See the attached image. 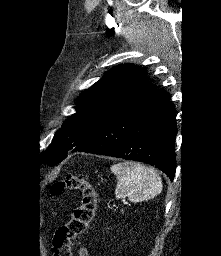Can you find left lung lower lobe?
Returning a JSON list of instances; mask_svg holds the SVG:
<instances>
[{"label":"left lung lower lobe","mask_w":221,"mask_h":256,"mask_svg":"<svg viewBox=\"0 0 221 256\" xmlns=\"http://www.w3.org/2000/svg\"><path fill=\"white\" fill-rule=\"evenodd\" d=\"M175 108L162 89L108 123L73 152L107 155L155 165L173 180L176 168Z\"/></svg>","instance_id":"1"}]
</instances>
